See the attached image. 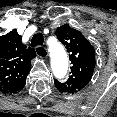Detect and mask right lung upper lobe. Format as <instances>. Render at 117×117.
<instances>
[{
    "instance_id": "right-lung-upper-lobe-1",
    "label": "right lung upper lobe",
    "mask_w": 117,
    "mask_h": 117,
    "mask_svg": "<svg viewBox=\"0 0 117 117\" xmlns=\"http://www.w3.org/2000/svg\"><path fill=\"white\" fill-rule=\"evenodd\" d=\"M17 30L0 37V92L16 94L25 86L35 50L21 41Z\"/></svg>"
}]
</instances>
